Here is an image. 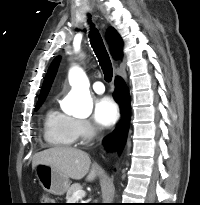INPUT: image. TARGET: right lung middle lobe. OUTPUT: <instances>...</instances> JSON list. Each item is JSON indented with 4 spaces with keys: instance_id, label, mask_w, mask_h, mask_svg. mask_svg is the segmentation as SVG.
<instances>
[{
    "instance_id": "right-lung-middle-lobe-1",
    "label": "right lung middle lobe",
    "mask_w": 200,
    "mask_h": 205,
    "mask_svg": "<svg viewBox=\"0 0 200 205\" xmlns=\"http://www.w3.org/2000/svg\"><path fill=\"white\" fill-rule=\"evenodd\" d=\"M44 100H45V98L38 100V103H37L36 108H35L36 110L40 107V105L43 103Z\"/></svg>"
}]
</instances>
